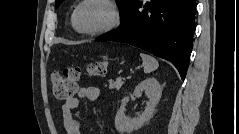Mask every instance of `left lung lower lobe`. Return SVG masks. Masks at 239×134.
Segmentation results:
<instances>
[{
  "label": "left lung lower lobe",
  "instance_id": "1",
  "mask_svg": "<svg viewBox=\"0 0 239 134\" xmlns=\"http://www.w3.org/2000/svg\"><path fill=\"white\" fill-rule=\"evenodd\" d=\"M196 0H135L116 29L97 41H117L170 61L185 79L195 29Z\"/></svg>",
  "mask_w": 239,
  "mask_h": 134
}]
</instances>
